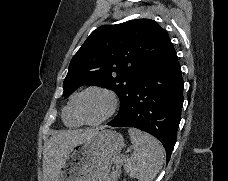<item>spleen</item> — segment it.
Returning a JSON list of instances; mask_svg holds the SVG:
<instances>
[{
  "label": "spleen",
  "instance_id": "1",
  "mask_svg": "<svg viewBox=\"0 0 228 181\" xmlns=\"http://www.w3.org/2000/svg\"><path fill=\"white\" fill-rule=\"evenodd\" d=\"M133 153L127 157L124 171L131 179L154 181L164 163V151L157 139L138 129H128Z\"/></svg>",
  "mask_w": 228,
  "mask_h": 181
}]
</instances>
